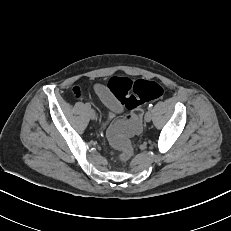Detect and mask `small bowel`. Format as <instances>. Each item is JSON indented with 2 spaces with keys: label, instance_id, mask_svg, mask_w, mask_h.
<instances>
[{
  "label": "small bowel",
  "instance_id": "obj_1",
  "mask_svg": "<svg viewBox=\"0 0 231 231\" xmlns=\"http://www.w3.org/2000/svg\"><path fill=\"white\" fill-rule=\"evenodd\" d=\"M95 91L100 97L103 104L115 113H121L123 111V106L121 103L109 92L108 88L102 85H96ZM74 93L77 97H80L79 88H74Z\"/></svg>",
  "mask_w": 231,
  "mask_h": 231
}]
</instances>
